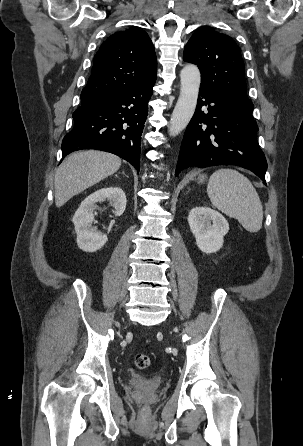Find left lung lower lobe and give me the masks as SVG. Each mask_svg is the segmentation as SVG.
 Here are the masks:
<instances>
[{"instance_id": "1", "label": "left lung lower lobe", "mask_w": 303, "mask_h": 446, "mask_svg": "<svg viewBox=\"0 0 303 446\" xmlns=\"http://www.w3.org/2000/svg\"><path fill=\"white\" fill-rule=\"evenodd\" d=\"M257 131L251 109L224 91L201 85L175 176L188 167L237 165L251 170L266 184L267 162L256 139Z\"/></svg>"}]
</instances>
